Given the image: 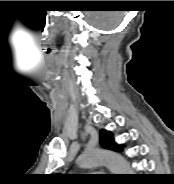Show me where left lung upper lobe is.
<instances>
[{"instance_id":"obj_1","label":"left lung upper lobe","mask_w":174,"mask_h":184,"mask_svg":"<svg viewBox=\"0 0 174 184\" xmlns=\"http://www.w3.org/2000/svg\"><path fill=\"white\" fill-rule=\"evenodd\" d=\"M100 145L106 149L113 150V151H120L122 150V146L117 145L114 142L113 135L102 129L100 130Z\"/></svg>"}]
</instances>
